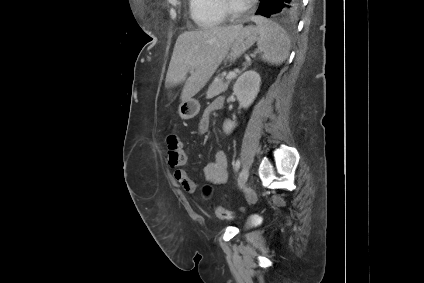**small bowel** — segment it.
Segmentation results:
<instances>
[{"label": "small bowel", "mask_w": 424, "mask_h": 283, "mask_svg": "<svg viewBox=\"0 0 424 283\" xmlns=\"http://www.w3.org/2000/svg\"><path fill=\"white\" fill-rule=\"evenodd\" d=\"M223 105V99L222 98H216L213 100L205 109L204 113L202 114L199 123H198V131L200 133H205L208 130L209 127V120H210V114L219 109ZM178 153H180V158H182V162L172 165L171 159L173 155L172 153L168 154V164L175 168V171L173 173L175 180L178 182V184L181 186V188L187 193V194H194L197 189L198 185L195 181H193L189 175L186 173L185 170H183L181 167L185 166L187 163V156L182 148L176 149ZM179 158V155H178ZM204 176L205 179L213 184H222L227 180L228 177V158L226 153L223 150H218L215 153L214 160L209 162L205 168H204Z\"/></svg>", "instance_id": "small-bowel-1"}]
</instances>
